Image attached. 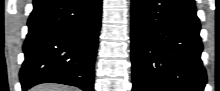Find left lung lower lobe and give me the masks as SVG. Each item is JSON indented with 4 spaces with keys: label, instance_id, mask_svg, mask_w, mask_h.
Segmentation results:
<instances>
[{
    "label": "left lung lower lobe",
    "instance_id": "left-lung-lower-lobe-1",
    "mask_svg": "<svg viewBox=\"0 0 220 91\" xmlns=\"http://www.w3.org/2000/svg\"><path fill=\"white\" fill-rule=\"evenodd\" d=\"M132 91H204L194 0H132Z\"/></svg>",
    "mask_w": 220,
    "mask_h": 91
}]
</instances>
